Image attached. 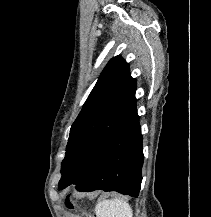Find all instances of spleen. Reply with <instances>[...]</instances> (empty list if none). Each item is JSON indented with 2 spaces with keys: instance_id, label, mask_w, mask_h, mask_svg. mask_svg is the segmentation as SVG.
Returning <instances> with one entry per match:
<instances>
[{
  "instance_id": "obj_1",
  "label": "spleen",
  "mask_w": 211,
  "mask_h": 217,
  "mask_svg": "<svg viewBox=\"0 0 211 217\" xmlns=\"http://www.w3.org/2000/svg\"><path fill=\"white\" fill-rule=\"evenodd\" d=\"M95 212L97 217H133L131 206L119 198L99 202Z\"/></svg>"
}]
</instances>
